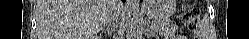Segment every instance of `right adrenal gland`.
I'll use <instances>...</instances> for the list:
<instances>
[{
  "label": "right adrenal gland",
  "mask_w": 249,
  "mask_h": 39,
  "mask_svg": "<svg viewBox=\"0 0 249 39\" xmlns=\"http://www.w3.org/2000/svg\"><path fill=\"white\" fill-rule=\"evenodd\" d=\"M104 31H105V32L107 31V34H111V33H112V29L106 28V29H104Z\"/></svg>",
  "instance_id": "2a0ac1e0"
}]
</instances>
